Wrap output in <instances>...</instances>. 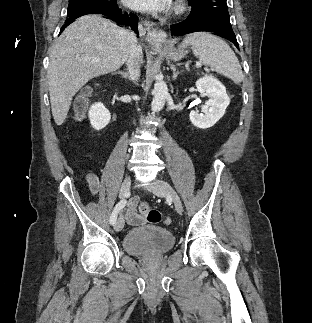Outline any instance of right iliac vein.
Wrapping results in <instances>:
<instances>
[{
	"mask_svg": "<svg viewBox=\"0 0 312 323\" xmlns=\"http://www.w3.org/2000/svg\"><path fill=\"white\" fill-rule=\"evenodd\" d=\"M130 185H131V179L130 176H126L122 182L121 188H120V193L119 196L121 199H124L125 197L128 196L129 190H130ZM124 226V218L123 216H120L115 224V231L120 232Z\"/></svg>",
	"mask_w": 312,
	"mask_h": 323,
	"instance_id": "63e3f726",
	"label": "right iliac vein"
}]
</instances>
